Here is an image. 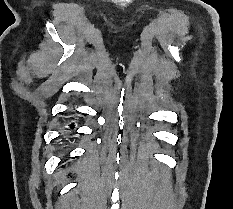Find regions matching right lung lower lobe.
I'll return each instance as SVG.
<instances>
[{"label": "right lung lower lobe", "instance_id": "1", "mask_svg": "<svg viewBox=\"0 0 233 209\" xmlns=\"http://www.w3.org/2000/svg\"><path fill=\"white\" fill-rule=\"evenodd\" d=\"M70 127H71V128H74V125H73V124H71V125H70Z\"/></svg>", "mask_w": 233, "mask_h": 209}]
</instances>
